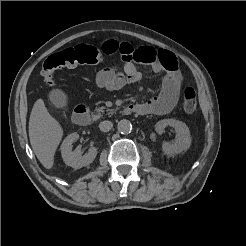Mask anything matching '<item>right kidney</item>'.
Here are the masks:
<instances>
[{
  "label": "right kidney",
  "mask_w": 246,
  "mask_h": 246,
  "mask_svg": "<svg viewBox=\"0 0 246 246\" xmlns=\"http://www.w3.org/2000/svg\"><path fill=\"white\" fill-rule=\"evenodd\" d=\"M78 139L79 135L77 133H72L64 139L61 145V155L63 161L66 165L74 169H80L91 164L97 156V148L95 147H91L88 153L84 154L83 156L80 147L72 150V144Z\"/></svg>",
  "instance_id": "1"
}]
</instances>
